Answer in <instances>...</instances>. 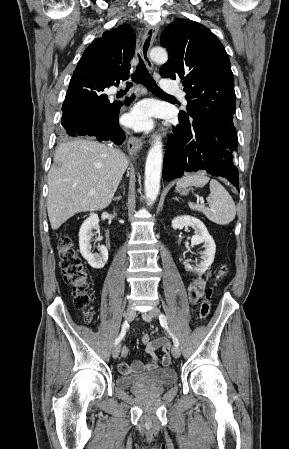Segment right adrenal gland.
Wrapping results in <instances>:
<instances>
[{"label": "right adrenal gland", "instance_id": "obj_1", "mask_svg": "<svg viewBox=\"0 0 289 449\" xmlns=\"http://www.w3.org/2000/svg\"><path fill=\"white\" fill-rule=\"evenodd\" d=\"M123 194H124V192H123ZM121 198H122V196L119 195V196L114 197L113 200L119 202L121 200Z\"/></svg>", "mask_w": 289, "mask_h": 449}]
</instances>
